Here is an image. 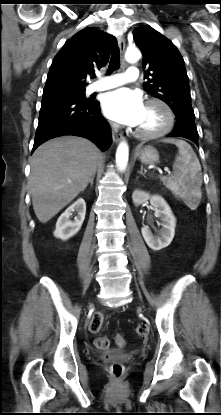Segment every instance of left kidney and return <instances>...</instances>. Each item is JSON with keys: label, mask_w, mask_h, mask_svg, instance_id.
<instances>
[{"label": "left kidney", "mask_w": 221, "mask_h": 415, "mask_svg": "<svg viewBox=\"0 0 221 415\" xmlns=\"http://www.w3.org/2000/svg\"><path fill=\"white\" fill-rule=\"evenodd\" d=\"M132 200L136 206H139L149 200L151 205L154 207L155 216L160 218L162 221V228L157 236L152 234L148 226H144L141 229L143 238L147 245L155 251L167 247L174 238L176 226V218L172 214L167 202L159 195H150L149 193L140 190H135L133 192Z\"/></svg>", "instance_id": "5707ae66"}]
</instances>
